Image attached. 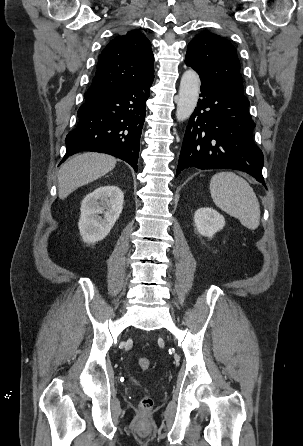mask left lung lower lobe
Instances as JSON below:
<instances>
[{
    "label": "left lung lower lobe",
    "instance_id": "0a47b994",
    "mask_svg": "<svg viewBox=\"0 0 303 446\" xmlns=\"http://www.w3.org/2000/svg\"><path fill=\"white\" fill-rule=\"evenodd\" d=\"M201 81V99L189 119L176 176L189 167L237 169L265 186L263 154L252 138L255 123L249 101L220 83Z\"/></svg>",
    "mask_w": 303,
    "mask_h": 446
}]
</instances>
